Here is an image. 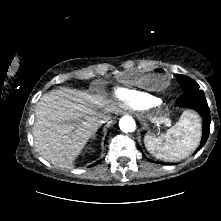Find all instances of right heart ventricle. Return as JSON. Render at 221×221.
<instances>
[{"label":"right heart ventricle","mask_w":221,"mask_h":221,"mask_svg":"<svg viewBox=\"0 0 221 221\" xmlns=\"http://www.w3.org/2000/svg\"><path fill=\"white\" fill-rule=\"evenodd\" d=\"M114 96L120 102L132 108H148L159 103V99L140 90L119 87L114 90Z\"/></svg>","instance_id":"1"}]
</instances>
